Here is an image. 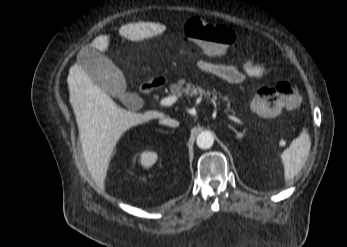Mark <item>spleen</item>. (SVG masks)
Returning a JSON list of instances; mask_svg holds the SVG:
<instances>
[{
	"label": "spleen",
	"mask_w": 347,
	"mask_h": 247,
	"mask_svg": "<svg viewBox=\"0 0 347 247\" xmlns=\"http://www.w3.org/2000/svg\"><path fill=\"white\" fill-rule=\"evenodd\" d=\"M311 141L306 130L292 141L289 148L280 155L285 168V179H292L301 170L309 155Z\"/></svg>",
	"instance_id": "1"
}]
</instances>
